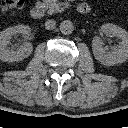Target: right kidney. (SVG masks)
Here are the masks:
<instances>
[{
	"mask_svg": "<svg viewBox=\"0 0 128 128\" xmlns=\"http://www.w3.org/2000/svg\"><path fill=\"white\" fill-rule=\"evenodd\" d=\"M31 29L27 25H16L6 28L0 33V59L7 62L21 61L33 51V46L30 42H25L18 47H9L13 36L21 34L23 37H28Z\"/></svg>",
	"mask_w": 128,
	"mask_h": 128,
	"instance_id": "right-kidney-1",
	"label": "right kidney"
}]
</instances>
